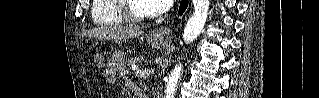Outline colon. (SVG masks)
Segmentation results:
<instances>
[{
  "instance_id": "obj_1",
  "label": "colon",
  "mask_w": 319,
  "mask_h": 98,
  "mask_svg": "<svg viewBox=\"0 0 319 98\" xmlns=\"http://www.w3.org/2000/svg\"><path fill=\"white\" fill-rule=\"evenodd\" d=\"M92 57H93V61H94L95 65L97 67L102 68L104 66V59L100 53L94 52Z\"/></svg>"
}]
</instances>
